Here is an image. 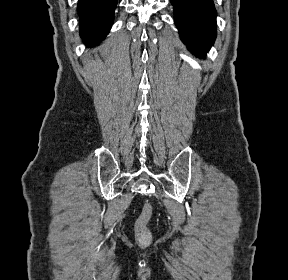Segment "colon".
<instances>
[{
	"label": "colon",
	"mask_w": 288,
	"mask_h": 280,
	"mask_svg": "<svg viewBox=\"0 0 288 280\" xmlns=\"http://www.w3.org/2000/svg\"><path fill=\"white\" fill-rule=\"evenodd\" d=\"M153 214V206L150 202L145 203L135 223L136 240L141 245H147L151 241V232L148 224Z\"/></svg>",
	"instance_id": "obj_1"
}]
</instances>
